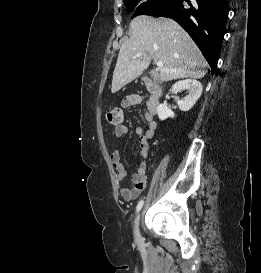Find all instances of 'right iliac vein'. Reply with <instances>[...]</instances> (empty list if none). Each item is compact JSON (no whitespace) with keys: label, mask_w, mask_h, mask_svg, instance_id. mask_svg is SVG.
Instances as JSON below:
<instances>
[{"label":"right iliac vein","mask_w":261,"mask_h":273,"mask_svg":"<svg viewBox=\"0 0 261 273\" xmlns=\"http://www.w3.org/2000/svg\"><path fill=\"white\" fill-rule=\"evenodd\" d=\"M139 221H140V215H138L136 217L135 222H134V233H135V237L137 239L140 238Z\"/></svg>","instance_id":"right-iliac-vein-1"}]
</instances>
